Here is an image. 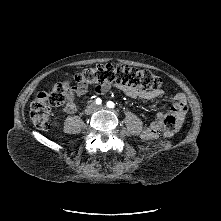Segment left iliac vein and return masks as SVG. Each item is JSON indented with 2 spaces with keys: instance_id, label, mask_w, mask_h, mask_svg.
I'll list each match as a JSON object with an SVG mask.
<instances>
[{
  "instance_id": "1",
  "label": "left iliac vein",
  "mask_w": 221,
  "mask_h": 221,
  "mask_svg": "<svg viewBox=\"0 0 221 221\" xmlns=\"http://www.w3.org/2000/svg\"><path fill=\"white\" fill-rule=\"evenodd\" d=\"M103 108H104L103 106H97L96 107L97 110H100V109H103Z\"/></svg>"
}]
</instances>
